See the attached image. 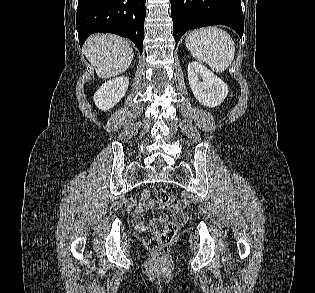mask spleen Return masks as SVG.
<instances>
[{
  "label": "spleen",
  "instance_id": "obj_1",
  "mask_svg": "<svg viewBox=\"0 0 315 293\" xmlns=\"http://www.w3.org/2000/svg\"><path fill=\"white\" fill-rule=\"evenodd\" d=\"M185 44L197 61L207 63L217 73L225 71L234 59L233 39L217 27L191 31L185 39Z\"/></svg>",
  "mask_w": 315,
  "mask_h": 293
}]
</instances>
